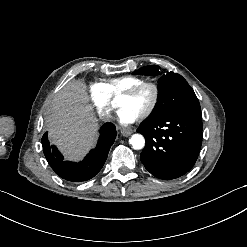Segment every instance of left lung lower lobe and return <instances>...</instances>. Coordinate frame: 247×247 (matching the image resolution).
<instances>
[{
    "label": "left lung lower lobe",
    "mask_w": 247,
    "mask_h": 247,
    "mask_svg": "<svg viewBox=\"0 0 247 247\" xmlns=\"http://www.w3.org/2000/svg\"><path fill=\"white\" fill-rule=\"evenodd\" d=\"M146 140L140 159L155 177L171 180L185 175L195 164L202 144L201 115L174 112L137 129Z\"/></svg>",
    "instance_id": "0a47b994"
}]
</instances>
